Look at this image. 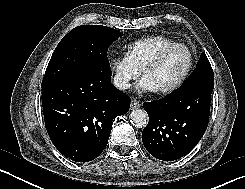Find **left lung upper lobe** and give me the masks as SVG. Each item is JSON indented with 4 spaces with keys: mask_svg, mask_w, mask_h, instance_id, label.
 I'll return each instance as SVG.
<instances>
[{
    "mask_svg": "<svg viewBox=\"0 0 245 189\" xmlns=\"http://www.w3.org/2000/svg\"><path fill=\"white\" fill-rule=\"evenodd\" d=\"M195 83L214 88L213 71L210 62L204 52L201 54L193 74L187 79L184 85Z\"/></svg>",
    "mask_w": 245,
    "mask_h": 189,
    "instance_id": "obj_1",
    "label": "left lung upper lobe"
}]
</instances>
